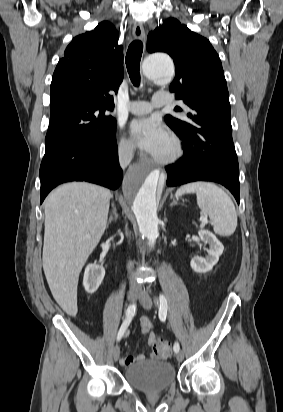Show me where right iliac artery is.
Listing matches in <instances>:
<instances>
[{
    "label": "right iliac artery",
    "mask_w": 283,
    "mask_h": 412,
    "mask_svg": "<svg viewBox=\"0 0 283 412\" xmlns=\"http://www.w3.org/2000/svg\"><path fill=\"white\" fill-rule=\"evenodd\" d=\"M136 303H133L131 305L128 306L127 310H126V319L124 320V322L122 323L118 335H117V341H120L124 332L126 331V329L128 328L130 322L132 321V318L134 317L135 313H136Z\"/></svg>",
    "instance_id": "1"
}]
</instances>
